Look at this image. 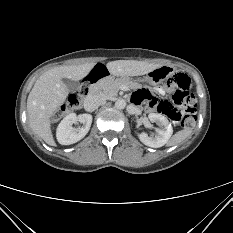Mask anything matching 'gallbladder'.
I'll list each match as a JSON object with an SVG mask.
<instances>
[{"mask_svg":"<svg viewBox=\"0 0 233 233\" xmlns=\"http://www.w3.org/2000/svg\"><path fill=\"white\" fill-rule=\"evenodd\" d=\"M64 84L67 86L70 92H75L79 89V82L71 79L64 78L62 80Z\"/></svg>","mask_w":233,"mask_h":233,"instance_id":"bac80fb5","label":"gallbladder"}]
</instances>
